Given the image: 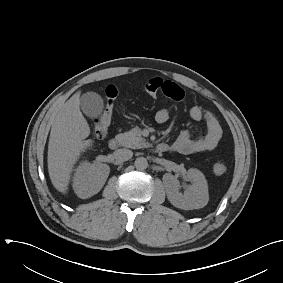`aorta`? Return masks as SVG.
I'll use <instances>...</instances> for the list:
<instances>
[{
    "mask_svg": "<svg viewBox=\"0 0 283 283\" xmlns=\"http://www.w3.org/2000/svg\"><path fill=\"white\" fill-rule=\"evenodd\" d=\"M137 170H145L148 167V161L144 157H138L134 163Z\"/></svg>",
    "mask_w": 283,
    "mask_h": 283,
    "instance_id": "1",
    "label": "aorta"
}]
</instances>
